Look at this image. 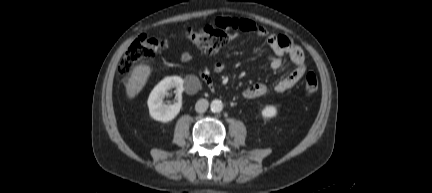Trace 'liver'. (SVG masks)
Instances as JSON below:
<instances>
[{"label":"liver","instance_id":"6515ba94","mask_svg":"<svg viewBox=\"0 0 432 193\" xmlns=\"http://www.w3.org/2000/svg\"><path fill=\"white\" fill-rule=\"evenodd\" d=\"M150 75V67L148 65L136 66L126 84V95L129 99L134 98L143 89Z\"/></svg>","mask_w":432,"mask_h":193}]
</instances>
